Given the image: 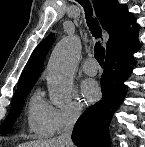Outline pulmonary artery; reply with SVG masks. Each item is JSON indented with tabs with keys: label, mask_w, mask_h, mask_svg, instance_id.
<instances>
[{
	"label": "pulmonary artery",
	"mask_w": 145,
	"mask_h": 147,
	"mask_svg": "<svg viewBox=\"0 0 145 147\" xmlns=\"http://www.w3.org/2000/svg\"><path fill=\"white\" fill-rule=\"evenodd\" d=\"M83 71L87 74V75H96L98 73V66L96 65V62L94 59L90 58L88 60H86L82 66Z\"/></svg>",
	"instance_id": "obj_1"
}]
</instances>
